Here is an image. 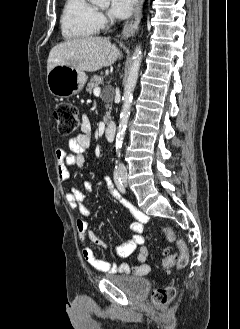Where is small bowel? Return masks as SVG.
Returning <instances> with one entry per match:
<instances>
[{"mask_svg": "<svg viewBox=\"0 0 240 329\" xmlns=\"http://www.w3.org/2000/svg\"><path fill=\"white\" fill-rule=\"evenodd\" d=\"M91 122L86 115L82 117L81 132L68 141V148L71 153H67L63 148L58 147L55 150L57 159V173L60 182H66L69 178L67 170L68 166L77 165L83 168L86 164L85 153L91 144ZM103 184L110 190V196L117 200L122 206L127 208L135 221L130 224V230L133 236L127 239L122 245L115 249V254L119 258H126L134 251L138 250L136 261L133 264L125 262L111 263L96 257L95 252L90 245L108 249V246L102 242L95 233L89 228L88 218L90 211L85 206V194L73 188L66 194V200L72 209H76L80 213V217L76 220V228L83 245L82 255L84 260L93 268L100 272L109 274H133L135 276H144L149 273L150 266L147 263L149 251L144 244L143 224L147 222L148 217L132 206L127 200L123 199L119 192L114 188L110 178L102 177ZM93 183L91 181L84 182V189L91 191Z\"/></svg>", "mask_w": 240, "mask_h": 329, "instance_id": "small-bowel-1", "label": "small bowel"}]
</instances>
